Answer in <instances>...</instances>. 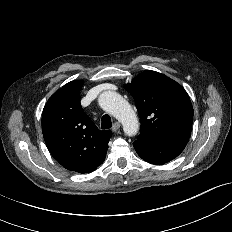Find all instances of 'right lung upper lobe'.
Returning <instances> with one entry per match:
<instances>
[{
  "mask_svg": "<svg viewBox=\"0 0 232 232\" xmlns=\"http://www.w3.org/2000/svg\"><path fill=\"white\" fill-rule=\"evenodd\" d=\"M83 81H72L47 101L42 114V132L52 156L66 169L90 173L103 163L112 135L99 130L83 111L80 90Z\"/></svg>",
  "mask_w": 232,
  "mask_h": 232,
  "instance_id": "obj_1",
  "label": "right lung upper lobe"
}]
</instances>
